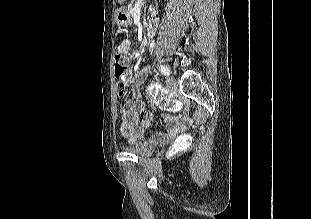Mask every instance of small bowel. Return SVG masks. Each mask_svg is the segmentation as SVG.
Masks as SVG:
<instances>
[{"label":"small bowel","mask_w":311,"mask_h":219,"mask_svg":"<svg viewBox=\"0 0 311 219\" xmlns=\"http://www.w3.org/2000/svg\"><path fill=\"white\" fill-rule=\"evenodd\" d=\"M117 50L121 55H128L130 52L129 40H123ZM146 72V70H143L135 80H133L132 71L128 70L126 73V85H132V97L123 105L120 130L121 134L130 142H155L159 139L175 137L183 130V126L176 117L164 114L163 120L166 131L152 136L149 140L145 139V132L151 127L154 118L151 111L145 110L144 101L140 97V90L146 79ZM149 91L154 100L159 99L154 85L149 87Z\"/></svg>","instance_id":"obj_1"}]
</instances>
